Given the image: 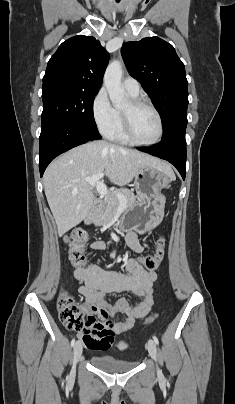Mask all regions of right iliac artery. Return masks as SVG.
I'll use <instances>...</instances> for the list:
<instances>
[{
  "mask_svg": "<svg viewBox=\"0 0 235 404\" xmlns=\"http://www.w3.org/2000/svg\"><path fill=\"white\" fill-rule=\"evenodd\" d=\"M75 343H76V340H75V338H73L72 341H71V346H74ZM67 379H68V377H67Z\"/></svg>",
  "mask_w": 235,
  "mask_h": 404,
  "instance_id": "obj_1",
  "label": "right iliac artery"
}]
</instances>
